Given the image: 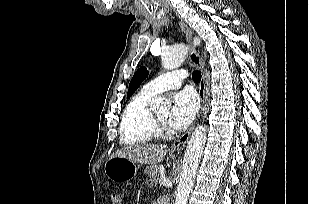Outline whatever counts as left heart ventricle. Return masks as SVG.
<instances>
[{
    "mask_svg": "<svg viewBox=\"0 0 309 204\" xmlns=\"http://www.w3.org/2000/svg\"><path fill=\"white\" fill-rule=\"evenodd\" d=\"M157 117L164 121L167 122L168 121V117H169V111L168 110H163L161 112L156 113Z\"/></svg>",
    "mask_w": 309,
    "mask_h": 204,
    "instance_id": "b2bd125f",
    "label": "left heart ventricle"
}]
</instances>
